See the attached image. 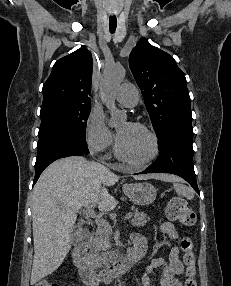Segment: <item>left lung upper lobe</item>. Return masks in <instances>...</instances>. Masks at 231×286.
Here are the masks:
<instances>
[{"mask_svg":"<svg viewBox=\"0 0 231 286\" xmlns=\"http://www.w3.org/2000/svg\"><path fill=\"white\" fill-rule=\"evenodd\" d=\"M129 65L157 135L170 123H192L186 78L172 56L141 38Z\"/></svg>","mask_w":231,"mask_h":286,"instance_id":"1","label":"left lung upper lobe"}]
</instances>
